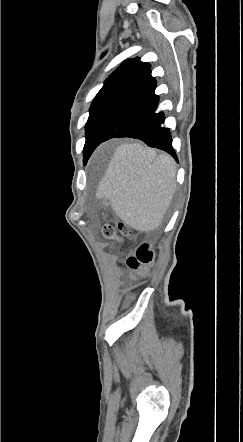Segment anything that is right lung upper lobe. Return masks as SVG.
I'll list each match as a JSON object with an SVG mask.
<instances>
[{
  "mask_svg": "<svg viewBox=\"0 0 243 442\" xmlns=\"http://www.w3.org/2000/svg\"><path fill=\"white\" fill-rule=\"evenodd\" d=\"M150 64L140 59H129L121 64L104 82L95 98L104 96L125 97L135 90L152 83Z\"/></svg>",
  "mask_w": 243,
  "mask_h": 442,
  "instance_id": "1",
  "label": "right lung upper lobe"
}]
</instances>
